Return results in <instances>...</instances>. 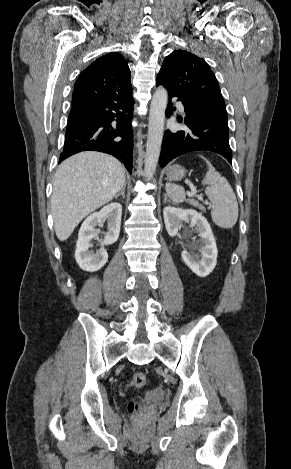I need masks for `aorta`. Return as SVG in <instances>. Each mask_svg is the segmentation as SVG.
I'll return each instance as SVG.
<instances>
[{"label": "aorta", "mask_w": 291, "mask_h": 469, "mask_svg": "<svg viewBox=\"0 0 291 469\" xmlns=\"http://www.w3.org/2000/svg\"><path fill=\"white\" fill-rule=\"evenodd\" d=\"M167 100V90L164 87H159L155 91L150 105L144 168L145 177L148 179H150L156 171L161 152Z\"/></svg>", "instance_id": "aorta-1"}]
</instances>
